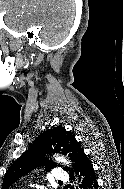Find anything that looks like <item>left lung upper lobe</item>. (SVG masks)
Segmentation results:
<instances>
[{
    "label": "left lung upper lobe",
    "instance_id": "obj_1",
    "mask_svg": "<svg viewBox=\"0 0 124 189\" xmlns=\"http://www.w3.org/2000/svg\"><path fill=\"white\" fill-rule=\"evenodd\" d=\"M51 153L68 155L75 171L79 166L81 157L85 155L80 143L71 132L66 131L61 126L54 127L40 134L30 148L13 162L5 173L2 189H8L18 178L39 165L45 166L47 170L57 166L56 163L47 160L45 157L46 154ZM65 170L73 173L69 168H65Z\"/></svg>",
    "mask_w": 124,
    "mask_h": 189
}]
</instances>
